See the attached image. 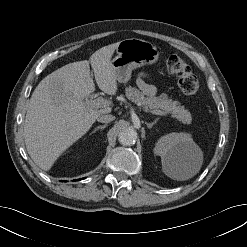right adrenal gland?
Listing matches in <instances>:
<instances>
[{
    "instance_id": "obj_1",
    "label": "right adrenal gland",
    "mask_w": 247,
    "mask_h": 247,
    "mask_svg": "<svg viewBox=\"0 0 247 247\" xmlns=\"http://www.w3.org/2000/svg\"><path fill=\"white\" fill-rule=\"evenodd\" d=\"M107 126V124H104V125H100V126H97L93 131L92 133H95L97 130H103L105 127Z\"/></svg>"
}]
</instances>
